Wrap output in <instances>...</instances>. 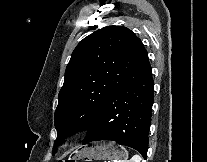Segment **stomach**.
Here are the masks:
<instances>
[{"mask_svg":"<svg viewBox=\"0 0 207 162\" xmlns=\"http://www.w3.org/2000/svg\"><path fill=\"white\" fill-rule=\"evenodd\" d=\"M128 157V151L115 143L97 142L77 149L69 160H123Z\"/></svg>","mask_w":207,"mask_h":162,"instance_id":"stomach-1","label":"stomach"}]
</instances>
